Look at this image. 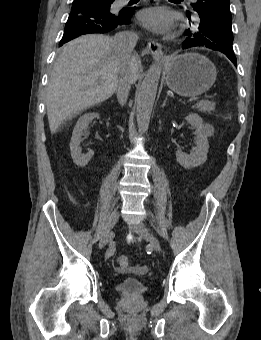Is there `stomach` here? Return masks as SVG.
Instances as JSON below:
<instances>
[{
    "label": "stomach",
    "mask_w": 261,
    "mask_h": 340,
    "mask_svg": "<svg viewBox=\"0 0 261 340\" xmlns=\"http://www.w3.org/2000/svg\"><path fill=\"white\" fill-rule=\"evenodd\" d=\"M216 76L214 64L197 53L174 56L165 64L166 84L172 91L184 97L207 92L214 84Z\"/></svg>",
    "instance_id": "stomach-1"
}]
</instances>
